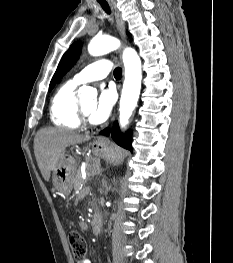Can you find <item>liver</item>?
Instances as JSON below:
<instances>
[{"label": "liver", "instance_id": "1", "mask_svg": "<svg viewBox=\"0 0 233 263\" xmlns=\"http://www.w3.org/2000/svg\"><path fill=\"white\" fill-rule=\"evenodd\" d=\"M89 140V136H83L63 128L39 130L34 140V153L44 180L49 181L51 171L57 167L62 152L67 146Z\"/></svg>", "mask_w": 233, "mask_h": 263}]
</instances>
